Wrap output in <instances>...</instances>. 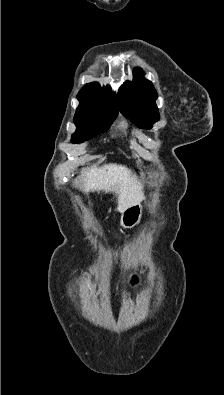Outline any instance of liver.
Returning <instances> with one entry per match:
<instances>
[{
    "label": "liver",
    "mask_w": 224,
    "mask_h": 395,
    "mask_svg": "<svg viewBox=\"0 0 224 395\" xmlns=\"http://www.w3.org/2000/svg\"><path fill=\"white\" fill-rule=\"evenodd\" d=\"M83 191L112 192L117 196V211L122 213L129 206L141 202L143 186L130 169L123 165L105 164L83 169L79 176Z\"/></svg>",
    "instance_id": "6515ba94"
}]
</instances>
